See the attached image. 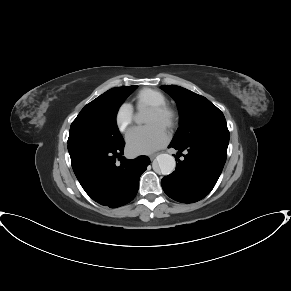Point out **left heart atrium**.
<instances>
[{
    "label": "left heart atrium",
    "mask_w": 291,
    "mask_h": 291,
    "mask_svg": "<svg viewBox=\"0 0 291 291\" xmlns=\"http://www.w3.org/2000/svg\"><path fill=\"white\" fill-rule=\"evenodd\" d=\"M169 140L164 126L150 124L132 130L127 136V150L130 154H148L162 146Z\"/></svg>",
    "instance_id": "obj_1"
}]
</instances>
